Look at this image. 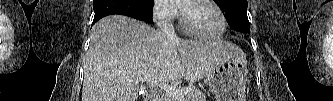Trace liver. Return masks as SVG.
<instances>
[{
	"mask_svg": "<svg viewBox=\"0 0 333 101\" xmlns=\"http://www.w3.org/2000/svg\"><path fill=\"white\" fill-rule=\"evenodd\" d=\"M235 48L223 41L170 39L136 19L105 17L92 29L82 101H136L147 75L199 81Z\"/></svg>",
	"mask_w": 333,
	"mask_h": 101,
	"instance_id": "obj_1",
	"label": "liver"
}]
</instances>
